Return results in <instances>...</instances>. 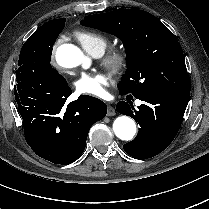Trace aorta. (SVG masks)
Returning <instances> with one entry per match:
<instances>
[{"instance_id":"aorta-1","label":"aorta","mask_w":209,"mask_h":209,"mask_svg":"<svg viewBox=\"0 0 209 209\" xmlns=\"http://www.w3.org/2000/svg\"><path fill=\"white\" fill-rule=\"evenodd\" d=\"M56 61L65 68H74L81 64L83 67H88L90 64V60L84 56L83 52L72 44H64L58 47ZM113 130L119 139L129 141L135 136L137 128L132 118L120 116L115 119Z\"/></svg>"}]
</instances>
